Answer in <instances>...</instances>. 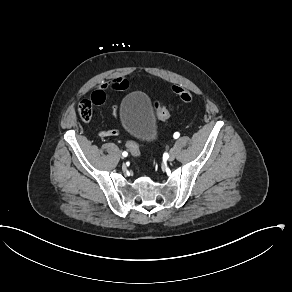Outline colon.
Wrapping results in <instances>:
<instances>
[{
    "mask_svg": "<svg viewBox=\"0 0 292 292\" xmlns=\"http://www.w3.org/2000/svg\"><path fill=\"white\" fill-rule=\"evenodd\" d=\"M174 92L177 97L183 102H191L192 97L189 92L183 87H175ZM106 95L103 91H96L91 99L84 98L80 100L77 106V114L81 121L84 123L90 122L93 115L94 106H100L104 103ZM154 109L156 112V117L159 121H165L169 119L174 111L172 104H162L159 101L154 102ZM126 149L133 157H138L140 155V147L138 143L133 138H128L125 142Z\"/></svg>",
    "mask_w": 292,
    "mask_h": 292,
    "instance_id": "colon-1",
    "label": "colon"
}]
</instances>
